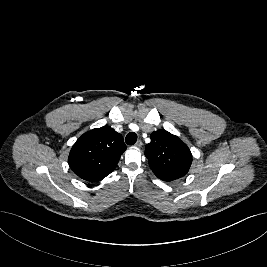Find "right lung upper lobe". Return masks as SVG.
Instances as JSON below:
<instances>
[{
    "label": "right lung upper lobe",
    "instance_id": "obj_1",
    "mask_svg": "<svg viewBox=\"0 0 267 267\" xmlns=\"http://www.w3.org/2000/svg\"><path fill=\"white\" fill-rule=\"evenodd\" d=\"M126 148L123 137L113 128H96L80 136L73 145L69 166L80 178L96 182L115 169Z\"/></svg>",
    "mask_w": 267,
    "mask_h": 267
}]
</instances>
